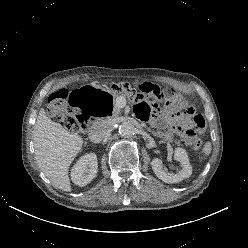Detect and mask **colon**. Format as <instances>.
<instances>
[{"label": "colon", "mask_w": 248, "mask_h": 248, "mask_svg": "<svg viewBox=\"0 0 248 248\" xmlns=\"http://www.w3.org/2000/svg\"><path fill=\"white\" fill-rule=\"evenodd\" d=\"M113 89L118 93L129 94L137 104L158 101L172 113L183 112L188 115V124L194 133L203 130L205 127L204 117L195 113L193 106L187 104L177 92H168L147 83L133 88L130 84L122 82L113 85ZM69 96L70 93L64 89L52 93L49 97L48 110L50 115L67 130L77 133L83 127L82 119L86 112L76 111L70 104ZM192 146L196 150L201 149L202 141L195 137Z\"/></svg>", "instance_id": "5ec220e1"}]
</instances>
